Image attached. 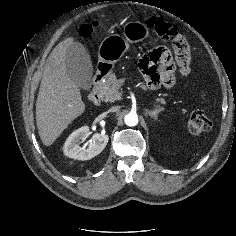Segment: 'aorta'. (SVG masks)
I'll list each match as a JSON object with an SVG mask.
<instances>
[{
	"instance_id": "obj_1",
	"label": "aorta",
	"mask_w": 236,
	"mask_h": 236,
	"mask_svg": "<svg viewBox=\"0 0 236 236\" xmlns=\"http://www.w3.org/2000/svg\"><path fill=\"white\" fill-rule=\"evenodd\" d=\"M138 115L134 112H130L124 117V122L127 126L134 127L138 124Z\"/></svg>"
}]
</instances>
